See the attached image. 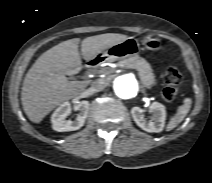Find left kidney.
Listing matches in <instances>:
<instances>
[{
    "label": "left kidney",
    "mask_w": 212,
    "mask_h": 183,
    "mask_svg": "<svg viewBox=\"0 0 212 183\" xmlns=\"http://www.w3.org/2000/svg\"><path fill=\"white\" fill-rule=\"evenodd\" d=\"M153 116L150 121H146L142 115L143 110L140 107H133L131 109L132 117L135 123L146 132H161L165 125L166 110L165 106L161 103L154 102L149 107Z\"/></svg>",
    "instance_id": "5707ae66"
}]
</instances>
